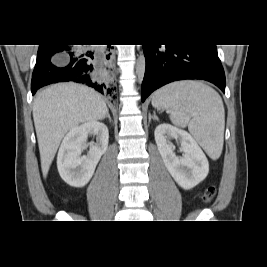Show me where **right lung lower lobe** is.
I'll list each match as a JSON object with an SVG mask.
<instances>
[{
	"mask_svg": "<svg viewBox=\"0 0 267 267\" xmlns=\"http://www.w3.org/2000/svg\"><path fill=\"white\" fill-rule=\"evenodd\" d=\"M110 51V49H107ZM103 51L67 45H39L31 91L57 82L86 84L109 97L115 96Z\"/></svg>",
	"mask_w": 267,
	"mask_h": 267,
	"instance_id": "1",
	"label": "right lung lower lobe"
}]
</instances>
